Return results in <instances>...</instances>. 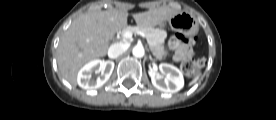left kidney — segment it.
I'll list each match as a JSON object with an SVG mask.
<instances>
[{
	"mask_svg": "<svg viewBox=\"0 0 276 120\" xmlns=\"http://www.w3.org/2000/svg\"><path fill=\"white\" fill-rule=\"evenodd\" d=\"M159 68L166 75L164 80L162 75L156 71H149V76L155 88L165 93H175L183 88L184 78L178 68L167 63L160 64Z\"/></svg>",
	"mask_w": 276,
	"mask_h": 120,
	"instance_id": "obj_1",
	"label": "left kidney"
}]
</instances>
